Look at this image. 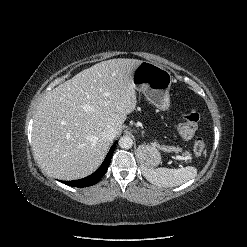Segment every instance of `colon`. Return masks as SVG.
Listing matches in <instances>:
<instances>
[{
    "mask_svg": "<svg viewBox=\"0 0 247 247\" xmlns=\"http://www.w3.org/2000/svg\"><path fill=\"white\" fill-rule=\"evenodd\" d=\"M199 115L196 111L191 110L182 116L178 124L179 134L185 138L190 139L194 137L198 129ZM206 148V143L203 138L197 137L193 143V152L195 155H201Z\"/></svg>",
    "mask_w": 247,
    "mask_h": 247,
    "instance_id": "5ec220e1",
    "label": "colon"
}]
</instances>
